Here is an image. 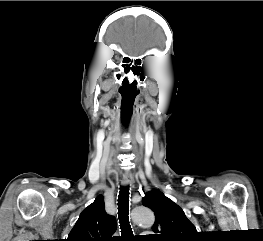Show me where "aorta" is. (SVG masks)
I'll return each mask as SVG.
<instances>
[{
	"instance_id": "1",
	"label": "aorta",
	"mask_w": 263,
	"mask_h": 241,
	"mask_svg": "<svg viewBox=\"0 0 263 241\" xmlns=\"http://www.w3.org/2000/svg\"><path fill=\"white\" fill-rule=\"evenodd\" d=\"M132 218L135 223L144 226H151L154 223V214L148 207L139 206L133 209Z\"/></svg>"
}]
</instances>
